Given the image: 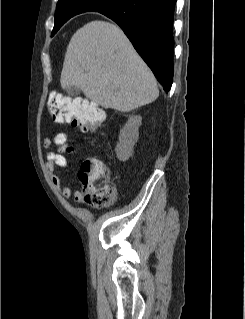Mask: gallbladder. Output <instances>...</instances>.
<instances>
[{
    "label": "gallbladder",
    "instance_id": "bac80fb5",
    "mask_svg": "<svg viewBox=\"0 0 245 319\" xmlns=\"http://www.w3.org/2000/svg\"><path fill=\"white\" fill-rule=\"evenodd\" d=\"M66 92L71 96H78L80 94V89L75 86H69L67 87Z\"/></svg>",
    "mask_w": 245,
    "mask_h": 319
}]
</instances>
